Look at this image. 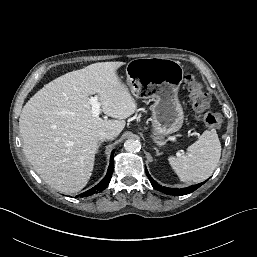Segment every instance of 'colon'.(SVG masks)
I'll return each mask as SVG.
<instances>
[{
	"label": "colon",
	"mask_w": 257,
	"mask_h": 257,
	"mask_svg": "<svg viewBox=\"0 0 257 257\" xmlns=\"http://www.w3.org/2000/svg\"><path fill=\"white\" fill-rule=\"evenodd\" d=\"M187 87L194 109L203 114V122L208 128H219L222 123V116L216 112H205L209 106V96L204 91L202 84L194 77H186Z\"/></svg>",
	"instance_id": "1"
}]
</instances>
